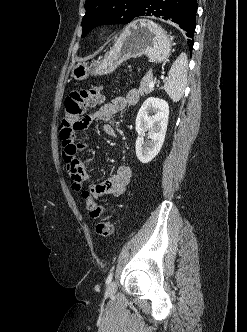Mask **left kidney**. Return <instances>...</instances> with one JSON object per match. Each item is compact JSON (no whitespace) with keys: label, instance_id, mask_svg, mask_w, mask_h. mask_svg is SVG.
<instances>
[{"label":"left kidney","instance_id":"5707ae66","mask_svg":"<svg viewBox=\"0 0 247 332\" xmlns=\"http://www.w3.org/2000/svg\"><path fill=\"white\" fill-rule=\"evenodd\" d=\"M149 112L154 115L149 116ZM169 116L168 103L159 98L149 97L145 100L136 117L135 129L136 156L141 163L150 162L160 151L167 130ZM148 131V144L144 145L143 136Z\"/></svg>","mask_w":247,"mask_h":332}]
</instances>
